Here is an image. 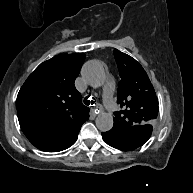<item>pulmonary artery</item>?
I'll use <instances>...</instances> for the list:
<instances>
[{
  "label": "pulmonary artery",
  "instance_id": "pulmonary-artery-1",
  "mask_svg": "<svg viewBox=\"0 0 193 193\" xmlns=\"http://www.w3.org/2000/svg\"><path fill=\"white\" fill-rule=\"evenodd\" d=\"M113 90H114L113 81L110 78H107V80L103 84L102 96L104 101L109 105H114V101L112 98Z\"/></svg>",
  "mask_w": 193,
  "mask_h": 193
}]
</instances>
